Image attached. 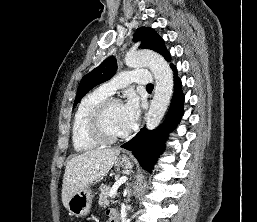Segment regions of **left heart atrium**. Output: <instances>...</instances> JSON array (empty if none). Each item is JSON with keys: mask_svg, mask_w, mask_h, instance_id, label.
Returning <instances> with one entry per match:
<instances>
[{"mask_svg": "<svg viewBox=\"0 0 257 222\" xmlns=\"http://www.w3.org/2000/svg\"><path fill=\"white\" fill-rule=\"evenodd\" d=\"M140 117V103L135 96H130L122 105V131L124 134L133 130Z\"/></svg>", "mask_w": 257, "mask_h": 222, "instance_id": "1", "label": "left heart atrium"}]
</instances>
